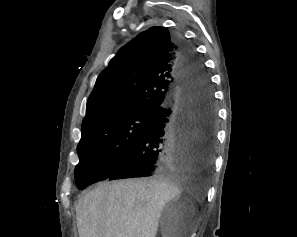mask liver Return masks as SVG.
<instances>
[{
	"instance_id": "liver-1",
	"label": "liver",
	"mask_w": 297,
	"mask_h": 237,
	"mask_svg": "<svg viewBox=\"0 0 297 237\" xmlns=\"http://www.w3.org/2000/svg\"><path fill=\"white\" fill-rule=\"evenodd\" d=\"M183 190L195 189L180 174L100 183L76 205L79 237H156L165 204Z\"/></svg>"
}]
</instances>
